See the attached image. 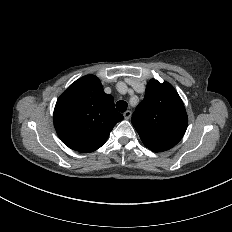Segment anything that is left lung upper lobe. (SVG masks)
I'll return each instance as SVG.
<instances>
[{
	"label": "left lung upper lobe",
	"instance_id": "1",
	"mask_svg": "<svg viewBox=\"0 0 232 232\" xmlns=\"http://www.w3.org/2000/svg\"><path fill=\"white\" fill-rule=\"evenodd\" d=\"M131 121L144 145L153 152H162L182 139L188 118L184 104L173 86L152 79Z\"/></svg>",
	"mask_w": 232,
	"mask_h": 232
}]
</instances>
